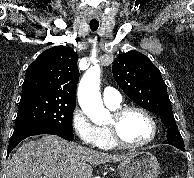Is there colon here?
Masks as SVG:
<instances>
[{
    "label": "colon",
    "mask_w": 194,
    "mask_h": 178,
    "mask_svg": "<svg viewBox=\"0 0 194 178\" xmlns=\"http://www.w3.org/2000/svg\"><path fill=\"white\" fill-rule=\"evenodd\" d=\"M169 178H179V177L176 176V175H172V176H170Z\"/></svg>",
    "instance_id": "colon-1"
}]
</instances>
